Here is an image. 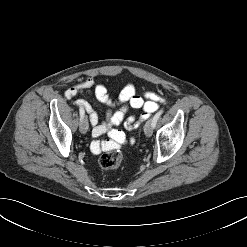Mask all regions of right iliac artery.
Masks as SVG:
<instances>
[{"instance_id":"1","label":"right iliac artery","mask_w":247,"mask_h":247,"mask_svg":"<svg viewBox=\"0 0 247 247\" xmlns=\"http://www.w3.org/2000/svg\"><path fill=\"white\" fill-rule=\"evenodd\" d=\"M79 113H80V121L84 118V116H85V111H84V109H82V108H80L79 109Z\"/></svg>"}]
</instances>
